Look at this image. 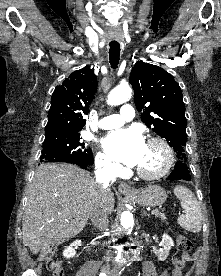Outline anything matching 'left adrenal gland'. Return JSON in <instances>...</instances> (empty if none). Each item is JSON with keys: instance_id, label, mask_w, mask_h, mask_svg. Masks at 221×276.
Wrapping results in <instances>:
<instances>
[{"instance_id": "obj_1", "label": "left adrenal gland", "mask_w": 221, "mask_h": 276, "mask_svg": "<svg viewBox=\"0 0 221 276\" xmlns=\"http://www.w3.org/2000/svg\"><path fill=\"white\" fill-rule=\"evenodd\" d=\"M144 216H148V214L146 213L145 210H143V214H142V217H144Z\"/></svg>"}]
</instances>
